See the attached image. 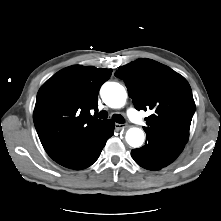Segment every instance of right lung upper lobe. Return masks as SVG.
<instances>
[{"label": "right lung upper lobe", "mask_w": 221, "mask_h": 221, "mask_svg": "<svg viewBox=\"0 0 221 221\" xmlns=\"http://www.w3.org/2000/svg\"><path fill=\"white\" fill-rule=\"evenodd\" d=\"M111 73L112 69L71 66L40 88L33 120L45 151L54 161L105 122L90 115V110H98V91Z\"/></svg>", "instance_id": "right-lung-upper-lobe-1"}]
</instances>
